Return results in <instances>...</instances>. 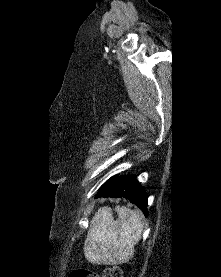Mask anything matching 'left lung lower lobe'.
I'll return each mask as SVG.
<instances>
[{"mask_svg":"<svg viewBox=\"0 0 221 277\" xmlns=\"http://www.w3.org/2000/svg\"><path fill=\"white\" fill-rule=\"evenodd\" d=\"M96 197H124L147 215L148 196L134 175L110 178L101 186Z\"/></svg>","mask_w":221,"mask_h":277,"instance_id":"left-lung-lower-lobe-1","label":"left lung lower lobe"}]
</instances>
